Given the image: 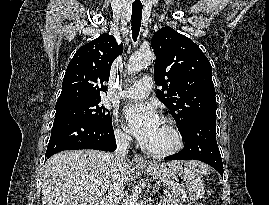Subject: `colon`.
Masks as SVG:
<instances>
[{
    "instance_id": "1",
    "label": "colon",
    "mask_w": 269,
    "mask_h": 205,
    "mask_svg": "<svg viewBox=\"0 0 269 205\" xmlns=\"http://www.w3.org/2000/svg\"><path fill=\"white\" fill-rule=\"evenodd\" d=\"M191 205H203V204H200V203H194V204H191Z\"/></svg>"
}]
</instances>
